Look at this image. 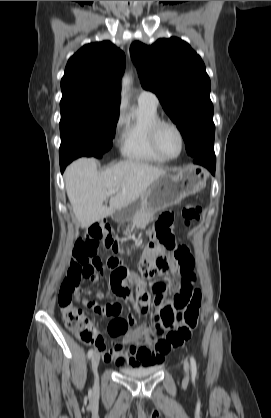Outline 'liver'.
<instances>
[{
  "label": "liver",
  "mask_w": 271,
  "mask_h": 418,
  "mask_svg": "<svg viewBox=\"0 0 271 418\" xmlns=\"http://www.w3.org/2000/svg\"><path fill=\"white\" fill-rule=\"evenodd\" d=\"M167 170L138 161L125 160L100 173L97 161L81 158L65 171V185L73 212L79 223L87 228L139 199ZM109 206L104 205L107 192Z\"/></svg>",
  "instance_id": "obj_1"
}]
</instances>
